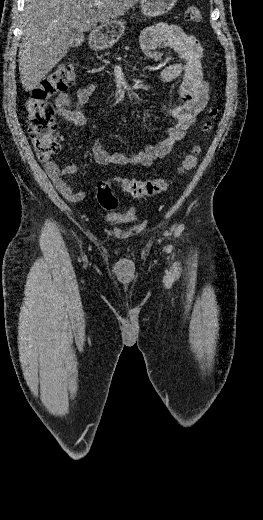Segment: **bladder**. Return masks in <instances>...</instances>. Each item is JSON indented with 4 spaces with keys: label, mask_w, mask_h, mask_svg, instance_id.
<instances>
[{
    "label": "bladder",
    "mask_w": 263,
    "mask_h": 520,
    "mask_svg": "<svg viewBox=\"0 0 263 520\" xmlns=\"http://www.w3.org/2000/svg\"><path fill=\"white\" fill-rule=\"evenodd\" d=\"M135 221H136L135 214L113 215V216H108L105 219V222L108 225H112V226L131 224V223H134Z\"/></svg>",
    "instance_id": "1"
}]
</instances>
